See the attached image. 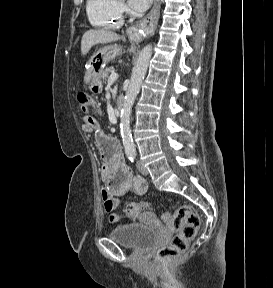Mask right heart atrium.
I'll use <instances>...</instances> for the list:
<instances>
[{
	"instance_id": "d8ad5b80",
	"label": "right heart atrium",
	"mask_w": 273,
	"mask_h": 288,
	"mask_svg": "<svg viewBox=\"0 0 273 288\" xmlns=\"http://www.w3.org/2000/svg\"><path fill=\"white\" fill-rule=\"evenodd\" d=\"M118 7H119V10H120V12H121L122 14L126 11V7H125V5H124L123 2L119 1V2H118Z\"/></svg>"
}]
</instances>
